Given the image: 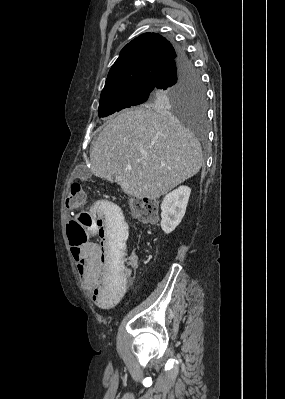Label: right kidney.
<instances>
[{"label":"right kidney","mask_w":285,"mask_h":399,"mask_svg":"<svg viewBox=\"0 0 285 399\" xmlns=\"http://www.w3.org/2000/svg\"><path fill=\"white\" fill-rule=\"evenodd\" d=\"M191 189L180 186L167 194L161 204V228L170 234L181 222L186 212Z\"/></svg>","instance_id":"1"}]
</instances>
